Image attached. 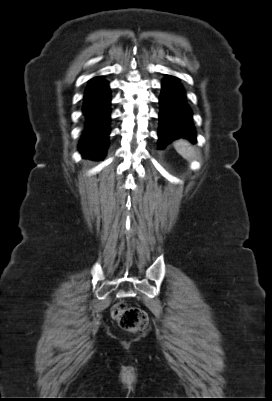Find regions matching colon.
<instances>
[{"mask_svg": "<svg viewBox=\"0 0 272 401\" xmlns=\"http://www.w3.org/2000/svg\"><path fill=\"white\" fill-rule=\"evenodd\" d=\"M110 315L123 329L130 332L141 331L148 323V317L144 310L139 307H129L123 301L112 306Z\"/></svg>", "mask_w": 272, "mask_h": 401, "instance_id": "colon-1", "label": "colon"}]
</instances>
